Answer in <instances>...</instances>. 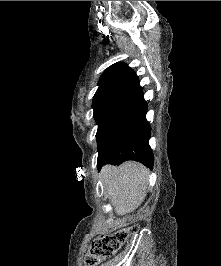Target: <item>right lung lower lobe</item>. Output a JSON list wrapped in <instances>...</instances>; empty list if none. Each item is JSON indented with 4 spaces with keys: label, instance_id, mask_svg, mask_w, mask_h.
Wrapping results in <instances>:
<instances>
[{
    "label": "right lung lower lobe",
    "instance_id": "1",
    "mask_svg": "<svg viewBox=\"0 0 221 266\" xmlns=\"http://www.w3.org/2000/svg\"><path fill=\"white\" fill-rule=\"evenodd\" d=\"M146 113L147 103L141 92L111 135L98 148L99 169L103 164L119 165L126 160L139 161L153 168V154L148 143L151 133Z\"/></svg>",
    "mask_w": 221,
    "mask_h": 266
}]
</instances>
